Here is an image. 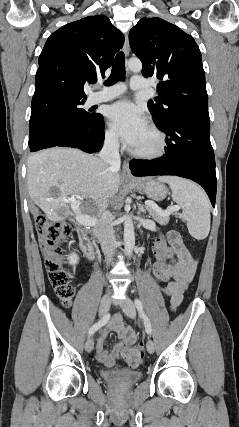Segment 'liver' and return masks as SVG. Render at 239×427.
<instances>
[{
  "instance_id": "1",
  "label": "liver",
  "mask_w": 239,
  "mask_h": 427,
  "mask_svg": "<svg viewBox=\"0 0 239 427\" xmlns=\"http://www.w3.org/2000/svg\"><path fill=\"white\" fill-rule=\"evenodd\" d=\"M120 176L98 156L72 148L54 147L32 154L27 163L28 193L47 219L63 221L73 213L69 196L90 198L94 209L89 214L101 218L110 199L118 192ZM53 187L58 193H52ZM76 215L84 214L80 202L72 204Z\"/></svg>"
}]
</instances>
